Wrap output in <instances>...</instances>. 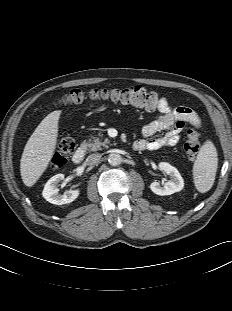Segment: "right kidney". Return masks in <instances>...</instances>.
<instances>
[{"label": "right kidney", "mask_w": 232, "mask_h": 311, "mask_svg": "<svg viewBox=\"0 0 232 311\" xmlns=\"http://www.w3.org/2000/svg\"><path fill=\"white\" fill-rule=\"evenodd\" d=\"M64 179V174L53 176L45 184L42 195L50 203L63 205L74 201L79 196V190L66 191L63 195L59 194L57 184Z\"/></svg>", "instance_id": "ca27d5eb"}]
</instances>
